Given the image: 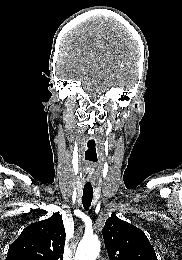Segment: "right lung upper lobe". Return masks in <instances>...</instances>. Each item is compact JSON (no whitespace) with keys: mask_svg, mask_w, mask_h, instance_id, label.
Wrapping results in <instances>:
<instances>
[{"mask_svg":"<svg viewBox=\"0 0 182 260\" xmlns=\"http://www.w3.org/2000/svg\"><path fill=\"white\" fill-rule=\"evenodd\" d=\"M65 237L62 217L54 213L27 226L10 245L6 260H63Z\"/></svg>","mask_w":182,"mask_h":260,"instance_id":"cb5924a9","label":"right lung upper lobe"}]
</instances>
